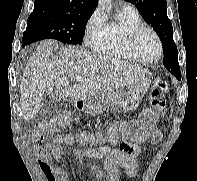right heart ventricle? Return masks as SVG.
I'll list each match as a JSON object with an SVG mask.
<instances>
[{"label":"right heart ventricle","instance_id":"e07e8e85","mask_svg":"<svg viewBox=\"0 0 197 181\" xmlns=\"http://www.w3.org/2000/svg\"><path fill=\"white\" fill-rule=\"evenodd\" d=\"M139 12L132 6L121 7L115 17L104 21L99 33L91 42L92 49L98 54L114 59L138 61L129 48L131 32L143 25Z\"/></svg>","mask_w":197,"mask_h":181}]
</instances>
